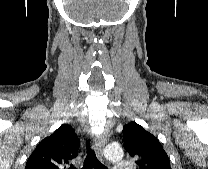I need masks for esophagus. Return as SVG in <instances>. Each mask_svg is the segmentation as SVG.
Returning a JSON list of instances; mask_svg holds the SVG:
<instances>
[{
  "label": "esophagus",
  "instance_id": "obj_1",
  "mask_svg": "<svg viewBox=\"0 0 208 169\" xmlns=\"http://www.w3.org/2000/svg\"><path fill=\"white\" fill-rule=\"evenodd\" d=\"M109 139V134L104 133L102 136H97L94 143L96 154L100 160H104V147Z\"/></svg>",
  "mask_w": 208,
  "mask_h": 169
}]
</instances>
